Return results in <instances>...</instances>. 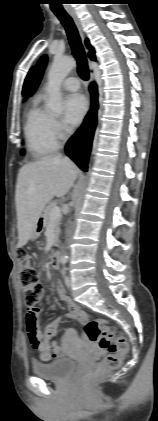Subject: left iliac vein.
Here are the masks:
<instances>
[{"instance_id": "1", "label": "left iliac vein", "mask_w": 158, "mask_h": 421, "mask_svg": "<svg viewBox=\"0 0 158 421\" xmlns=\"http://www.w3.org/2000/svg\"><path fill=\"white\" fill-rule=\"evenodd\" d=\"M65 283H66L67 287L71 286V278L69 276H66Z\"/></svg>"}]
</instances>
